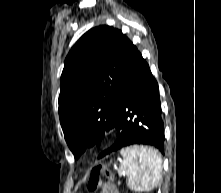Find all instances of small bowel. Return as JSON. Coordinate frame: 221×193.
<instances>
[{"mask_svg":"<svg viewBox=\"0 0 221 193\" xmlns=\"http://www.w3.org/2000/svg\"><path fill=\"white\" fill-rule=\"evenodd\" d=\"M100 193H118V192L113 185L105 183L102 185Z\"/></svg>","mask_w":221,"mask_h":193,"instance_id":"obj_1","label":"small bowel"}]
</instances>
